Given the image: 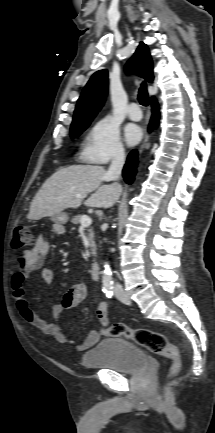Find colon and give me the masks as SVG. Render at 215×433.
<instances>
[{
	"label": "colon",
	"mask_w": 215,
	"mask_h": 433,
	"mask_svg": "<svg viewBox=\"0 0 215 433\" xmlns=\"http://www.w3.org/2000/svg\"><path fill=\"white\" fill-rule=\"evenodd\" d=\"M33 236L24 224H17L13 230L12 247L21 249L31 245ZM102 334L108 337H125L146 348L152 353L165 357L169 362L167 376L174 377L180 370V353L177 345L170 343L166 336L150 329H133L123 323L108 324L102 329Z\"/></svg>",
	"instance_id": "5ec220e1"
}]
</instances>
